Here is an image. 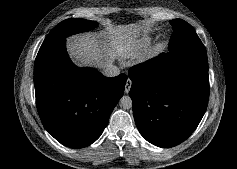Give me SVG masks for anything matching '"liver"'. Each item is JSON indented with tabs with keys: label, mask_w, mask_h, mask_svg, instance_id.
Segmentation results:
<instances>
[{
	"label": "liver",
	"mask_w": 237,
	"mask_h": 169,
	"mask_svg": "<svg viewBox=\"0 0 237 169\" xmlns=\"http://www.w3.org/2000/svg\"><path fill=\"white\" fill-rule=\"evenodd\" d=\"M144 26H120L108 33H86L67 39L70 57L79 67L91 66L102 70L115 60V39L119 35H134Z\"/></svg>",
	"instance_id": "liver-1"
}]
</instances>
